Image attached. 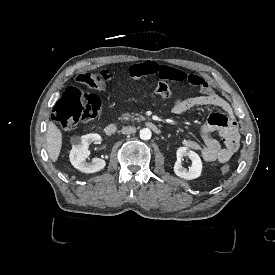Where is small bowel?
I'll return each instance as SVG.
<instances>
[{
    "label": "small bowel",
    "mask_w": 275,
    "mask_h": 275,
    "mask_svg": "<svg viewBox=\"0 0 275 275\" xmlns=\"http://www.w3.org/2000/svg\"><path fill=\"white\" fill-rule=\"evenodd\" d=\"M180 72L174 67L159 66L154 62H145L132 68V75L137 78L149 76L160 79H177L180 76ZM181 77L184 80L190 77L197 84L203 81L199 72H193L190 75L189 72L184 71ZM101 79L111 86L117 82L118 78L115 71L103 70ZM200 93L198 96L175 100L172 104L171 112L175 115H183L197 107L215 106L227 115L229 123L225 127L217 126L213 122L204 123L199 130L202 143L193 139H184L183 145L188 149L197 151L206 162L226 163L240 146V133L234 110L227 100L214 93L209 83L204 82V84L200 85ZM213 132H219L223 141L222 144L212 137Z\"/></svg>",
    "instance_id": "small-bowel-1"
}]
</instances>
